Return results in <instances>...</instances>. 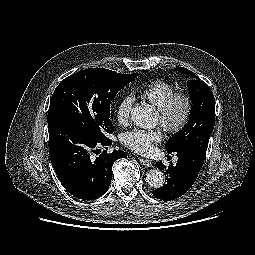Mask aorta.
<instances>
[{"label": "aorta", "mask_w": 255, "mask_h": 255, "mask_svg": "<svg viewBox=\"0 0 255 255\" xmlns=\"http://www.w3.org/2000/svg\"><path fill=\"white\" fill-rule=\"evenodd\" d=\"M131 120L140 128H152L155 124L156 116L151 106L139 105L132 109ZM149 186L160 188L164 185L165 177L159 169H151L146 174Z\"/></svg>", "instance_id": "aorta-1"}]
</instances>
